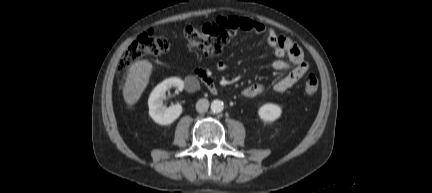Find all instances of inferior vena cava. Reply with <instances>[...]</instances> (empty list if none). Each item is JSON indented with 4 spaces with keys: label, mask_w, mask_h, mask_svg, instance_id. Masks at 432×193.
Masks as SVG:
<instances>
[{
    "label": "inferior vena cava",
    "mask_w": 432,
    "mask_h": 193,
    "mask_svg": "<svg viewBox=\"0 0 432 193\" xmlns=\"http://www.w3.org/2000/svg\"><path fill=\"white\" fill-rule=\"evenodd\" d=\"M209 101L207 99H199L196 103V110L199 113H204L208 110Z\"/></svg>",
    "instance_id": "inferior-vena-cava-1"
}]
</instances>
